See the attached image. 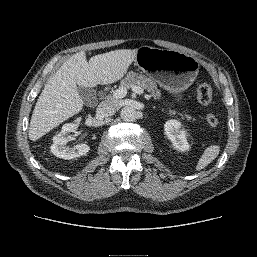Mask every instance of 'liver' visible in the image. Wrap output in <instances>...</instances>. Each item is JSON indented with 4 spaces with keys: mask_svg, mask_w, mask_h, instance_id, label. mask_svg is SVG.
I'll use <instances>...</instances> for the list:
<instances>
[{
    "mask_svg": "<svg viewBox=\"0 0 257 257\" xmlns=\"http://www.w3.org/2000/svg\"><path fill=\"white\" fill-rule=\"evenodd\" d=\"M137 49H121L86 59L85 52L71 56L47 81L30 121L29 139L37 141L68 118L79 113L84 102L78 87L117 82L135 61Z\"/></svg>",
    "mask_w": 257,
    "mask_h": 257,
    "instance_id": "1",
    "label": "liver"
}]
</instances>
